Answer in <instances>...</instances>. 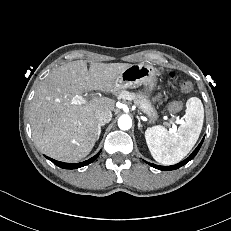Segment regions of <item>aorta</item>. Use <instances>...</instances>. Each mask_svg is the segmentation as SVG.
<instances>
[{
  "label": "aorta",
  "mask_w": 231,
  "mask_h": 231,
  "mask_svg": "<svg viewBox=\"0 0 231 231\" xmlns=\"http://www.w3.org/2000/svg\"><path fill=\"white\" fill-rule=\"evenodd\" d=\"M118 126L121 130H129L132 126V120L127 115H122L118 119Z\"/></svg>",
  "instance_id": "762f6f07"
}]
</instances>
